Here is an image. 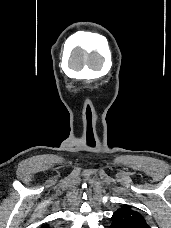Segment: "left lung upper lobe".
Masks as SVG:
<instances>
[{
    "label": "left lung upper lobe",
    "instance_id": "left-lung-upper-lobe-1",
    "mask_svg": "<svg viewBox=\"0 0 171 228\" xmlns=\"http://www.w3.org/2000/svg\"><path fill=\"white\" fill-rule=\"evenodd\" d=\"M127 221L146 223L145 218L129 205H124L114 212L112 216V223L119 225Z\"/></svg>",
    "mask_w": 171,
    "mask_h": 228
}]
</instances>
